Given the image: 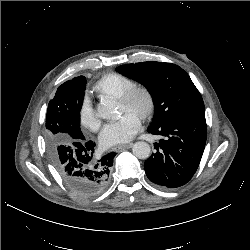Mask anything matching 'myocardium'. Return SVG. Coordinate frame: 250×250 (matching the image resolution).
I'll return each mask as SVG.
<instances>
[{
	"label": "myocardium",
	"instance_id": "myocardium-1",
	"mask_svg": "<svg viewBox=\"0 0 250 250\" xmlns=\"http://www.w3.org/2000/svg\"><path fill=\"white\" fill-rule=\"evenodd\" d=\"M118 99L127 108H137L138 116L142 119L150 117L155 110L154 94L148 86L143 84H135ZM140 100L142 104L139 106Z\"/></svg>",
	"mask_w": 250,
	"mask_h": 250
}]
</instances>
